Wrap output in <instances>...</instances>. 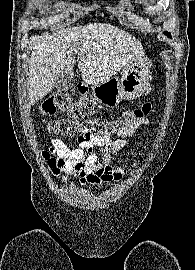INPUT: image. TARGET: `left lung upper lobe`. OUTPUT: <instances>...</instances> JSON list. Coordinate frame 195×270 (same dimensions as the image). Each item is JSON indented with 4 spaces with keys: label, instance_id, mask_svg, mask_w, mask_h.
I'll use <instances>...</instances> for the list:
<instances>
[{
    "label": "left lung upper lobe",
    "instance_id": "obj_1",
    "mask_svg": "<svg viewBox=\"0 0 195 270\" xmlns=\"http://www.w3.org/2000/svg\"><path fill=\"white\" fill-rule=\"evenodd\" d=\"M164 34L167 35V36H169V37H171V34L168 33V32H164Z\"/></svg>",
    "mask_w": 195,
    "mask_h": 270
}]
</instances>
